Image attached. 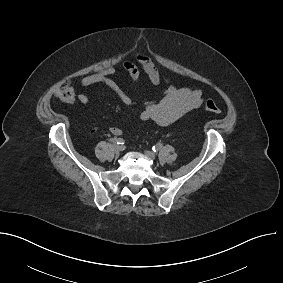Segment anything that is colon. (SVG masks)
<instances>
[{
  "label": "colon",
  "instance_id": "colon-1",
  "mask_svg": "<svg viewBox=\"0 0 283 283\" xmlns=\"http://www.w3.org/2000/svg\"><path fill=\"white\" fill-rule=\"evenodd\" d=\"M56 97L66 103H71L75 99V92L70 83H63L56 90ZM204 109L213 114H220L221 110L218 105L212 100H206L204 102Z\"/></svg>",
  "mask_w": 283,
  "mask_h": 283
}]
</instances>
